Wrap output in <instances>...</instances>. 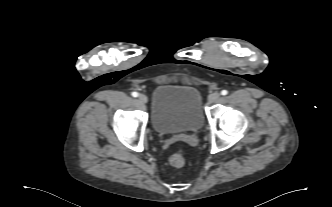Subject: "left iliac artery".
<instances>
[{
	"label": "left iliac artery",
	"instance_id": "1",
	"mask_svg": "<svg viewBox=\"0 0 332 207\" xmlns=\"http://www.w3.org/2000/svg\"><path fill=\"white\" fill-rule=\"evenodd\" d=\"M221 94H222V95H227V94H228V91H227V90H222V91H221Z\"/></svg>",
	"mask_w": 332,
	"mask_h": 207
}]
</instances>
